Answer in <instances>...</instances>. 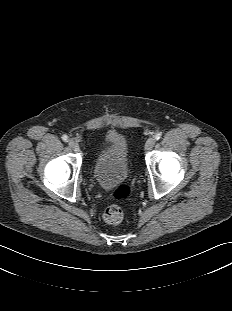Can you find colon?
Returning <instances> with one entry per match:
<instances>
[{
  "label": "colon",
  "instance_id": "1",
  "mask_svg": "<svg viewBox=\"0 0 232 311\" xmlns=\"http://www.w3.org/2000/svg\"><path fill=\"white\" fill-rule=\"evenodd\" d=\"M130 191L129 185L122 184L110 194V198L113 200H123L129 196ZM102 218L108 224H118L123 218V211L118 205L111 204L104 209Z\"/></svg>",
  "mask_w": 232,
  "mask_h": 311
}]
</instances>
